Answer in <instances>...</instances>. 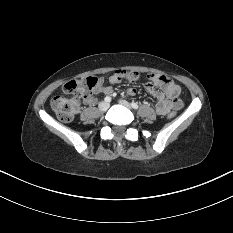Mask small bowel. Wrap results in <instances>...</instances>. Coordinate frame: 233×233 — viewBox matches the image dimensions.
I'll list each match as a JSON object with an SVG mask.
<instances>
[{"label": "small bowel", "instance_id": "small-bowel-1", "mask_svg": "<svg viewBox=\"0 0 233 233\" xmlns=\"http://www.w3.org/2000/svg\"><path fill=\"white\" fill-rule=\"evenodd\" d=\"M121 78L117 73L109 77V86L104 85V78L98 79V84L93 93H105L110 94L112 92V86L121 82ZM146 90L156 98L154 108L159 115H166L171 110H178L182 108V101L178 98L180 93L179 86L169 77L164 75H156L155 80L146 84ZM127 96L135 94V89L129 88L126 90ZM86 104L92 105L95 103L96 98L90 94L84 97Z\"/></svg>", "mask_w": 233, "mask_h": 233}]
</instances>
